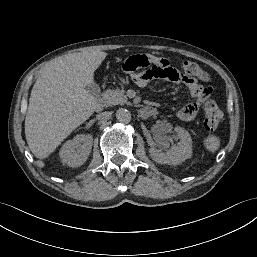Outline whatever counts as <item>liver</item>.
<instances>
[{"mask_svg":"<svg viewBox=\"0 0 257 257\" xmlns=\"http://www.w3.org/2000/svg\"><path fill=\"white\" fill-rule=\"evenodd\" d=\"M102 51L68 54L53 60L36 80L25 118V136L35 157L47 158L95 111L97 100L86 87L106 58Z\"/></svg>","mask_w":257,"mask_h":257,"instance_id":"liver-1","label":"liver"}]
</instances>
